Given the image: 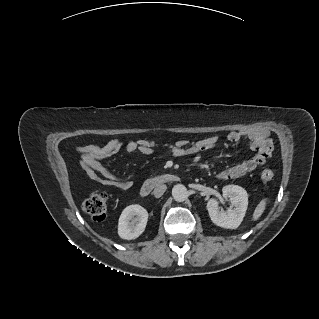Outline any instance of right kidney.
<instances>
[{
    "mask_svg": "<svg viewBox=\"0 0 319 319\" xmlns=\"http://www.w3.org/2000/svg\"><path fill=\"white\" fill-rule=\"evenodd\" d=\"M148 212L138 204L127 206L118 221V235L125 240L139 237L145 230Z\"/></svg>",
    "mask_w": 319,
    "mask_h": 319,
    "instance_id": "ca27d5eb",
    "label": "right kidney"
}]
</instances>
